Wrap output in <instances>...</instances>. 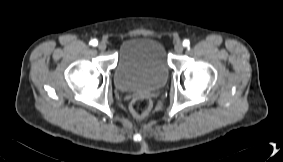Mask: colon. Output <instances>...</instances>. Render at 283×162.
<instances>
[{
    "label": "colon",
    "instance_id": "5ec220e1",
    "mask_svg": "<svg viewBox=\"0 0 283 162\" xmlns=\"http://www.w3.org/2000/svg\"><path fill=\"white\" fill-rule=\"evenodd\" d=\"M151 107V100L146 96H137L130 104V110L136 117L145 116L150 111Z\"/></svg>",
    "mask_w": 283,
    "mask_h": 162
}]
</instances>
